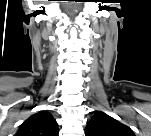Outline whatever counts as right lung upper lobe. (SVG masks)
I'll return each mask as SVG.
<instances>
[{"label": "right lung upper lobe", "mask_w": 151, "mask_h": 136, "mask_svg": "<svg viewBox=\"0 0 151 136\" xmlns=\"http://www.w3.org/2000/svg\"><path fill=\"white\" fill-rule=\"evenodd\" d=\"M16 136H58L57 122L49 112H38L20 125Z\"/></svg>", "instance_id": "obj_1"}]
</instances>
